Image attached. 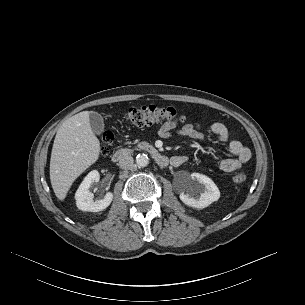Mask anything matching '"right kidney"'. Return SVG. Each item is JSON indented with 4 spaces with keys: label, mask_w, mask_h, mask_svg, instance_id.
<instances>
[{
    "label": "right kidney",
    "mask_w": 305,
    "mask_h": 305,
    "mask_svg": "<svg viewBox=\"0 0 305 305\" xmlns=\"http://www.w3.org/2000/svg\"><path fill=\"white\" fill-rule=\"evenodd\" d=\"M100 180V174L97 170L88 173L80 184L75 193L76 205L78 209L88 212H99L106 209L113 199V194L108 192L105 197L100 200L94 201V195L90 192L89 188L92 183Z\"/></svg>",
    "instance_id": "right-kidney-1"
}]
</instances>
